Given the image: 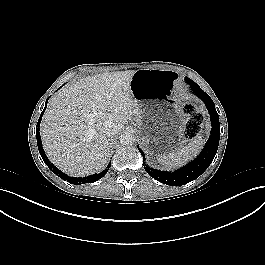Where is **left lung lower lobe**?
I'll list each match as a JSON object with an SVG mask.
<instances>
[{"instance_id": "left-lung-lower-lobe-1", "label": "left lung lower lobe", "mask_w": 265, "mask_h": 265, "mask_svg": "<svg viewBox=\"0 0 265 265\" xmlns=\"http://www.w3.org/2000/svg\"><path fill=\"white\" fill-rule=\"evenodd\" d=\"M186 82L190 85L191 90L198 95V97L203 100L206 104L208 112L211 117L212 129L211 135L206 142L204 149L202 150L201 154L189 163L187 166L178 169L174 172H167V171H160L157 169H153L145 164L146 172L155 180L170 186H181L189 183L196 178H198L211 164L213 161L218 145H219V138H220V123L218 113L215 109V104L212 99L196 84L189 78H185ZM140 153L145 159V155L143 151L138 148Z\"/></svg>"}]
</instances>
